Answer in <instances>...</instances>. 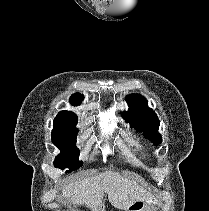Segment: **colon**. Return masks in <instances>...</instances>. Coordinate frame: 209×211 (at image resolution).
Segmentation results:
<instances>
[{
    "label": "colon",
    "instance_id": "colon-1",
    "mask_svg": "<svg viewBox=\"0 0 209 211\" xmlns=\"http://www.w3.org/2000/svg\"><path fill=\"white\" fill-rule=\"evenodd\" d=\"M142 206H143V203L142 202H135L131 206L130 210L137 211V210H140L142 208Z\"/></svg>",
    "mask_w": 209,
    "mask_h": 211
}]
</instances>
